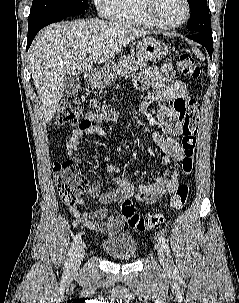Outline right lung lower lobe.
Returning a JSON list of instances; mask_svg holds the SVG:
<instances>
[{
    "label": "right lung lower lobe",
    "mask_w": 239,
    "mask_h": 303,
    "mask_svg": "<svg viewBox=\"0 0 239 303\" xmlns=\"http://www.w3.org/2000/svg\"><path fill=\"white\" fill-rule=\"evenodd\" d=\"M77 14H81V13H70V14H60V15H54V16H50L47 19L44 20H40L38 22H35L31 25H28V41H27V47L26 50H28V48L30 47L34 37L36 36L37 32L42 29L43 27H45L48 24L54 23V22H59L62 19H64L65 17H69V16H74Z\"/></svg>",
    "instance_id": "1"
}]
</instances>
